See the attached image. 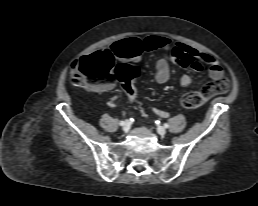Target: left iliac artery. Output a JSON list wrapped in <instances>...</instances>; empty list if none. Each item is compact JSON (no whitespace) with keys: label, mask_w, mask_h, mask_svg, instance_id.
I'll use <instances>...</instances> for the list:
<instances>
[{"label":"left iliac artery","mask_w":258,"mask_h":206,"mask_svg":"<svg viewBox=\"0 0 258 206\" xmlns=\"http://www.w3.org/2000/svg\"><path fill=\"white\" fill-rule=\"evenodd\" d=\"M164 127H165V128H168V127H169V125H168L167 123H165V124H164Z\"/></svg>","instance_id":"1"}]
</instances>
